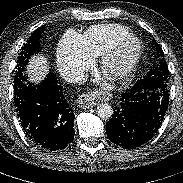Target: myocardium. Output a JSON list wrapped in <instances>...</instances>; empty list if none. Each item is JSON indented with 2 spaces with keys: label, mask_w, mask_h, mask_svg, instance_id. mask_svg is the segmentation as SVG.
<instances>
[{
  "label": "myocardium",
  "mask_w": 183,
  "mask_h": 183,
  "mask_svg": "<svg viewBox=\"0 0 183 183\" xmlns=\"http://www.w3.org/2000/svg\"><path fill=\"white\" fill-rule=\"evenodd\" d=\"M128 48L133 51L125 56ZM143 53L142 43L135 37L124 40L101 55L100 70L110 80H121L130 76L137 67Z\"/></svg>",
  "instance_id": "f54148a6"
}]
</instances>
